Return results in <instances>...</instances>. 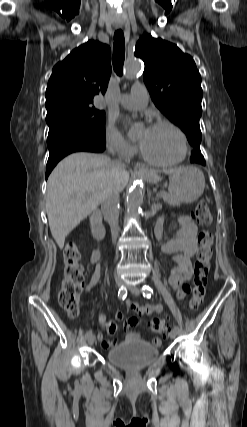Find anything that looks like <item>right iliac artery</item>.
I'll list each match as a JSON object with an SVG mask.
<instances>
[{
    "label": "right iliac artery",
    "instance_id": "1",
    "mask_svg": "<svg viewBox=\"0 0 247 427\" xmlns=\"http://www.w3.org/2000/svg\"><path fill=\"white\" fill-rule=\"evenodd\" d=\"M126 295H127V290L125 287L122 286L118 291V298L124 300ZM91 334H92V331L89 330L86 332L85 337L88 338Z\"/></svg>",
    "mask_w": 247,
    "mask_h": 427
}]
</instances>
